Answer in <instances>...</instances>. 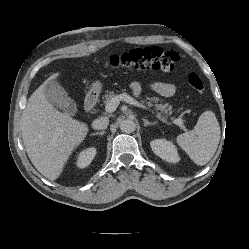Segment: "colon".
<instances>
[{"label":"colon","mask_w":249,"mask_h":249,"mask_svg":"<svg viewBox=\"0 0 249 249\" xmlns=\"http://www.w3.org/2000/svg\"><path fill=\"white\" fill-rule=\"evenodd\" d=\"M179 62V55L175 51L165 50L157 46L137 48L122 54H115L106 60V66L122 70H162L173 71ZM188 84L200 92L204 88L201 77L190 73Z\"/></svg>","instance_id":"colon-1"}]
</instances>
